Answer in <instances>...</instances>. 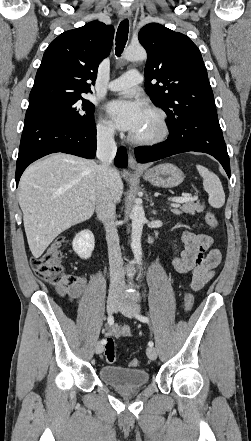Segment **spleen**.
Masks as SVG:
<instances>
[{"label": "spleen", "instance_id": "obj_1", "mask_svg": "<svg viewBox=\"0 0 251 441\" xmlns=\"http://www.w3.org/2000/svg\"><path fill=\"white\" fill-rule=\"evenodd\" d=\"M196 168L203 178V188L208 193V202L213 208H221L225 203V193L219 177L202 165Z\"/></svg>", "mask_w": 251, "mask_h": 441}]
</instances>
